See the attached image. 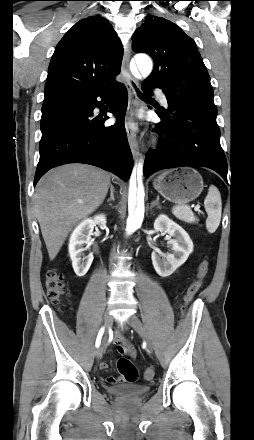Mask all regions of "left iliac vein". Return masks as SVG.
Returning a JSON list of instances; mask_svg holds the SVG:
<instances>
[{"label":"left iliac vein","mask_w":254,"mask_h":440,"mask_svg":"<svg viewBox=\"0 0 254 440\" xmlns=\"http://www.w3.org/2000/svg\"><path fill=\"white\" fill-rule=\"evenodd\" d=\"M128 324L140 335L143 337V339L146 342L148 350H153V343L148 335L147 330L145 329L144 325L141 323V321L135 316L131 315L128 319Z\"/></svg>","instance_id":"obj_1"}]
</instances>
